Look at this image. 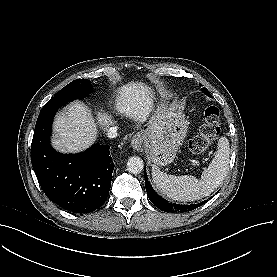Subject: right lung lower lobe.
<instances>
[{
    "mask_svg": "<svg viewBox=\"0 0 277 277\" xmlns=\"http://www.w3.org/2000/svg\"><path fill=\"white\" fill-rule=\"evenodd\" d=\"M57 109L39 114L31 144V162L48 198L73 213H89L105 203L114 163L106 145H93L72 155L60 154L50 145Z\"/></svg>",
    "mask_w": 277,
    "mask_h": 277,
    "instance_id": "obj_1",
    "label": "right lung lower lobe"
}]
</instances>
